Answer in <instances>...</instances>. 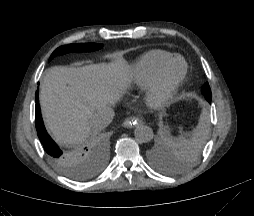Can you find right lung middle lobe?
<instances>
[{
    "mask_svg": "<svg viewBox=\"0 0 254 216\" xmlns=\"http://www.w3.org/2000/svg\"><path fill=\"white\" fill-rule=\"evenodd\" d=\"M103 47L102 44L88 43V44H70L57 48L51 55L50 60L56 55H62L69 52H89L96 51ZM89 159H84V153L81 151L68 153L64 158L53 161V164L65 175L74 179H85L97 172L100 165L95 164L90 167L92 163L91 153Z\"/></svg>",
    "mask_w": 254,
    "mask_h": 216,
    "instance_id": "1",
    "label": "right lung middle lobe"
}]
</instances>
